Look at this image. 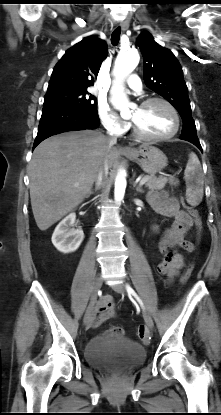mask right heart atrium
<instances>
[{"instance_id": "1", "label": "right heart atrium", "mask_w": 221, "mask_h": 415, "mask_svg": "<svg viewBox=\"0 0 221 415\" xmlns=\"http://www.w3.org/2000/svg\"><path fill=\"white\" fill-rule=\"evenodd\" d=\"M98 116L105 130L111 135L121 136L129 128V124L111 111L106 103L98 104Z\"/></svg>"}]
</instances>
